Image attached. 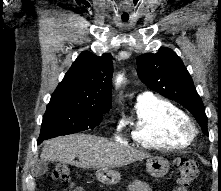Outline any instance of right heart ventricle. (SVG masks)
Segmentation results:
<instances>
[{
  "label": "right heart ventricle",
  "mask_w": 221,
  "mask_h": 191,
  "mask_svg": "<svg viewBox=\"0 0 221 191\" xmlns=\"http://www.w3.org/2000/svg\"><path fill=\"white\" fill-rule=\"evenodd\" d=\"M185 119V113L168 99L152 96L137 100L129 136L143 148H185L190 140L179 132V125Z\"/></svg>",
  "instance_id": "obj_1"
}]
</instances>
